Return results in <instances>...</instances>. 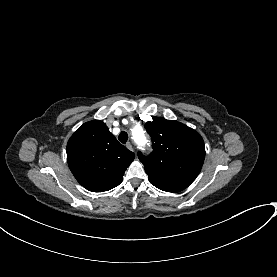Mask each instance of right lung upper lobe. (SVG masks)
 I'll return each instance as SVG.
<instances>
[{"label": "right lung upper lobe", "instance_id": "right-lung-upper-lobe-1", "mask_svg": "<svg viewBox=\"0 0 277 277\" xmlns=\"http://www.w3.org/2000/svg\"><path fill=\"white\" fill-rule=\"evenodd\" d=\"M135 155L121 145L105 123L83 124L69 139L67 161L77 181L92 192L108 191L122 182Z\"/></svg>", "mask_w": 277, "mask_h": 277}]
</instances>
